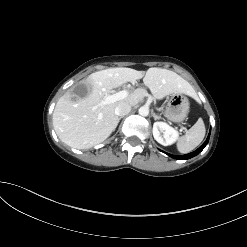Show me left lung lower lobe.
Masks as SVG:
<instances>
[{"mask_svg":"<svg viewBox=\"0 0 247 247\" xmlns=\"http://www.w3.org/2000/svg\"><path fill=\"white\" fill-rule=\"evenodd\" d=\"M209 137H210V133H209L206 141L202 144V146H200L194 152H191V153L185 154V155H180V156H176V155H172V154H167V155L170 156V157H172V158H174V159H178V160H181V159H190V158L198 155L205 148V146L208 144Z\"/></svg>","mask_w":247,"mask_h":247,"instance_id":"1","label":"left lung lower lobe"}]
</instances>
